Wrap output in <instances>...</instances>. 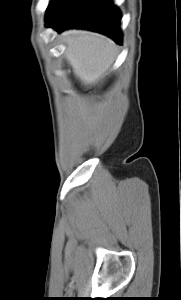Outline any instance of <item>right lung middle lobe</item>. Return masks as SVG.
<instances>
[{"label":"right lung middle lobe","mask_w":181,"mask_h":300,"mask_svg":"<svg viewBox=\"0 0 181 300\" xmlns=\"http://www.w3.org/2000/svg\"><path fill=\"white\" fill-rule=\"evenodd\" d=\"M65 0H51L48 8H47V14L55 10L58 6H60Z\"/></svg>","instance_id":"1"}]
</instances>
